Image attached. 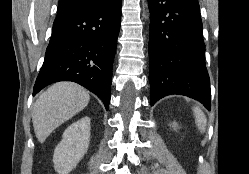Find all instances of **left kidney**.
<instances>
[{"mask_svg": "<svg viewBox=\"0 0 249 174\" xmlns=\"http://www.w3.org/2000/svg\"><path fill=\"white\" fill-rule=\"evenodd\" d=\"M178 126V124L176 122L172 123V127H174V129Z\"/></svg>", "mask_w": 249, "mask_h": 174, "instance_id": "1", "label": "left kidney"}]
</instances>
